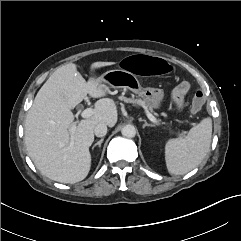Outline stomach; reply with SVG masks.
<instances>
[{
	"label": "stomach",
	"instance_id": "0dacf381",
	"mask_svg": "<svg viewBox=\"0 0 241 241\" xmlns=\"http://www.w3.org/2000/svg\"><path fill=\"white\" fill-rule=\"evenodd\" d=\"M101 81L107 87L124 88L133 91L151 109H158L164 98V91L162 89L154 87L143 88L137 79V75L124 69L107 71L101 76Z\"/></svg>",
	"mask_w": 241,
	"mask_h": 241
}]
</instances>
